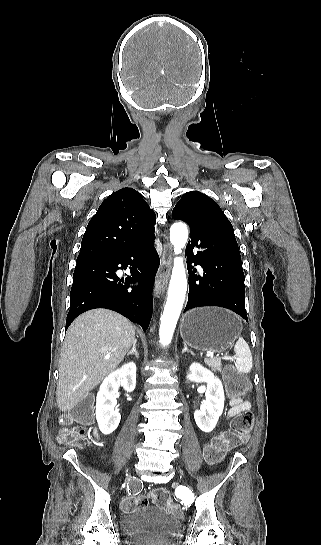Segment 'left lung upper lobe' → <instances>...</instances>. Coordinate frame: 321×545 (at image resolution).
<instances>
[{"label":"left lung upper lobe","mask_w":321,"mask_h":545,"mask_svg":"<svg viewBox=\"0 0 321 545\" xmlns=\"http://www.w3.org/2000/svg\"><path fill=\"white\" fill-rule=\"evenodd\" d=\"M213 216L226 217L213 199L199 191L185 193L172 212L175 220H201Z\"/></svg>","instance_id":"left-lung-upper-lobe-1"}]
</instances>
